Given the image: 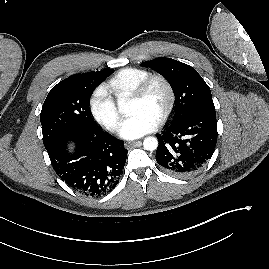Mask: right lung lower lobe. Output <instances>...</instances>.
<instances>
[{
    "label": "right lung lower lobe",
    "mask_w": 269,
    "mask_h": 269,
    "mask_svg": "<svg viewBox=\"0 0 269 269\" xmlns=\"http://www.w3.org/2000/svg\"><path fill=\"white\" fill-rule=\"evenodd\" d=\"M69 142L75 143L73 153L67 150ZM46 150L59 177L72 189L92 197L116 187L128 153L123 141L100 128L63 135Z\"/></svg>",
    "instance_id": "1"
}]
</instances>
